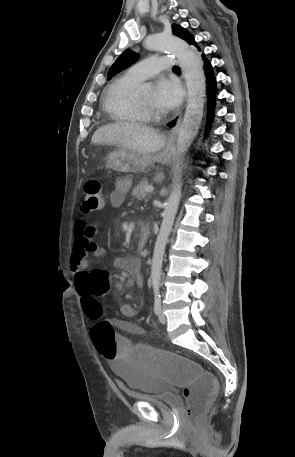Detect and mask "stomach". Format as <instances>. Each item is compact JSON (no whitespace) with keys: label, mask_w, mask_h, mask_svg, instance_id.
Wrapping results in <instances>:
<instances>
[{"label":"stomach","mask_w":295,"mask_h":457,"mask_svg":"<svg viewBox=\"0 0 295 457\" xmlns=\"http://www.w3.org/2000/svg\"><path fill=\"white\" fill-rule=\"evenodd\" d=\"M171 155L167 152H160L156 155L138 154L134 151L118 148L109 152L106 156V167L117 172H139L147 166L158 162L167 164Z\"/></svg>","instance_id":"obj_1"}]
</instances>
